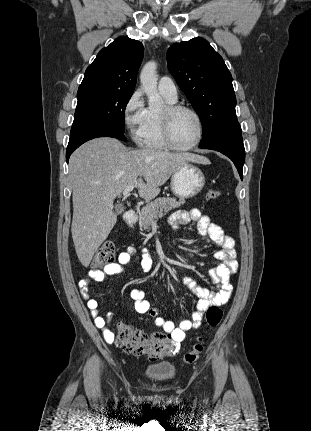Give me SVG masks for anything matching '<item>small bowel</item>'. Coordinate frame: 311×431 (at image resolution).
I'll use <instances>...</instances> for the list:
<instances>
[{
  "label": "small bowel",
  "instance_id": "1",
  "mask_svg": "<svg viewBox=\"0 0 311 431\" xmlns=\"http://www.w3.org/2000/svg\"><path fill=\"white\" fill-rule=\"evenodd\" d=\"M190 222H195L199 233L220 247V250L215 254L218 264L209 272L210 279L216 284L215 289L209 290L199 287L190 278H184L185 285L200 299L197 309L192 314L191 318L185 319L179 326H175L171 320L158 315V309L151 306L143 290L135 288L130 292L135 311L139 314H148L153 317L155 325L161 327L177 345L184 340L188 331L201 325L203 314L209 307L221 306L228 302L233 290L232 285L229 283V278L231 274L236 271L238 266L234 239L225 235L223 229L218 224L213 223L208 216L201 214L198 209L177 211L170 216V224L175 231L178 230L181 225ZM134 256L135 249L133 247H128L126 251L119 254L115 263L108 264L100 270H90L87 274V278L79 282L82 297L86 302L94 324L101 330L105 341L109 344L114 341V334L110 328L112 314L109 313L106 317L100 315L98 302L90 296L89 283L90 281L102 282L110 276L121 274L124 268L131 264ZM137 259L144 272H149L151 270L153 256L147 250H143L142 256L137 257Z\"/></svg>",
  "mask_w": 311,
  "mask_h": 431
}]
</instances>
